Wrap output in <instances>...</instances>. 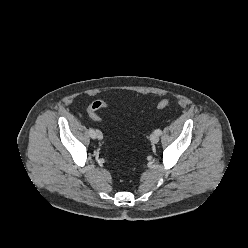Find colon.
<instances>
[{"instance_id":"1","label":"colon","mask_w":248,"mask_h":248,"mask_svg":"<svg viewBox=\"0 0 248 248\" xmlns=\"http://www.w3.org/2000/svg\"><path fill=\"white\" fill-rule=\"evenodd\" d=\"M170 105L169 99H162L157 104V109L162 110ZM108 104L103 100H97L91 103L88 107V114L91 119L94 121H100V117L98 115V111L102 108H106Z\"/></svg>"}]
</instances>
